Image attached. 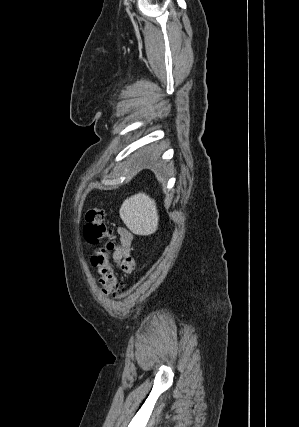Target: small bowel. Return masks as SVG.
Returning <instances> with one entry per match:
<instances>
[{
  "label": "small bowel",
  "mask_w": 299,
  "mask_h": 427,
  "mask_svg": "<svg viewBox=\"0 0 299 427\" xmlns=\"http://www.w3.org/2000/svg\"><path fill=\"white\" fill-rule=\"evenodd\" d=\"M118 234L120 245L114 252L113 258L124 272H131L134 269V259L130 256L133 235L124 227L118 228Z\"/></svg>",
  "instance_id": "1"
}]
</instances>
